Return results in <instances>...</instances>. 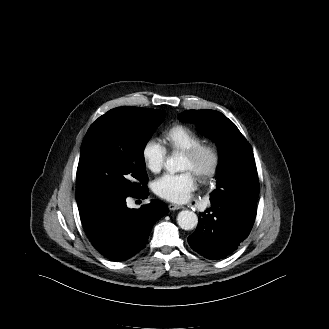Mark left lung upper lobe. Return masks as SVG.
<instances>
[{
    "mask_svg": "<svg viewBox=\"0 0 329 329\" xmlns=\"http://www.w3.org/2000/svg\"><path fill=\"white\" fill-rule=\"evenodd\" d=\"M182 122L195 123L219 147L216 189L211 200L227 198L228 192L256 168L248 141L225 115L214 110H186L179 114Z\"/></svg>",
    "mask_w": 329,
    "mask_h": 329,
    "instance_id": "obj_1",
    "label": "left lung upper lobe"
}]
</instances>
